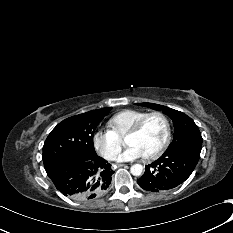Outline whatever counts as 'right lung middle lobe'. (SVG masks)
<instances>
[{"mask_svg":"<svg viewBox=\"0 0 233 233\" xmlns=\"http://www.w3.org/2000/svg\"><path fill=\"white\" fill-rule=\"evenodd\" d=\"M112 108L91 110L60 122L48 135L43 146V163L47 174L63 162L74 158L97 156L93 135L97 125Z\"/></svg>","mask_w":233,"mask_h":233,"instance_id":"dd1d6c3e","label":"right lung middle lobe"}]
</instances>
